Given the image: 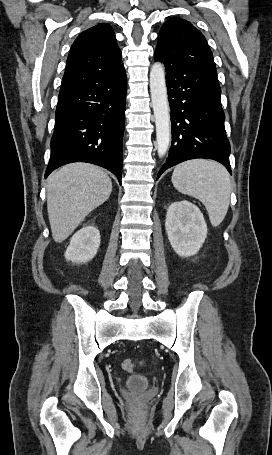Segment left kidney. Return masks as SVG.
I'll use <instances>...</instances> for the list:
<instances>
[{
  "label": "left kidney",
  "mask_w": 272,
  "mask_h": 455,
  "mask_svg": "<svg viewBox=\"0 0 272 455\" xmlns=\"http://www.w3.org/2000/svg\"><path fill=\"white\" fill-rule=\"evenodd\" d=\"M165 228L174 251L181 257L196 254L207 236V225L199 208L186 200L172 203Z\"/></svg>",
  "instance_id": "5707ae66"
}]
</instances>
